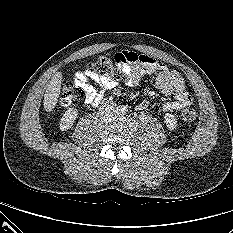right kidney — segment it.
<instances>
[{
  "instance_id": "obj_1",
  "label": "right kidney",
  "mask_w": 233,
  "mask_h": 233,
  "mask_svg": "<svg viewBox=\"0 0 233 233\" xmlns=\"http://www.w3.org/2000/svg\"><path fill=\"white\" fill-rule=\"evenodd\" d=\"M78 114L76 108H69L63 115L60 121V129L62 131L71 128Z\"/></svg>"
}]
</instances>
